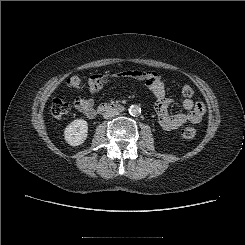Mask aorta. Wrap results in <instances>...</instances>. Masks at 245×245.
<instances>
[{
    "mask_svg": "<svg viewBox=\"0 0 245 245\" xmlns=\"http://www.w3.org/2000/svg\"><path fill=\"white\" fill-rule=\"evenodd\" d=\"M129 113H130V115H132V116H138V115H140V113H141V108H140V106H138V105H131V106L129 107Z\"/></svg>",
    "mask_w": 245,
    "mask_h": 245,
    "instance_id": "762f6f07",
    "label": "aorta"
}]
</instances>
